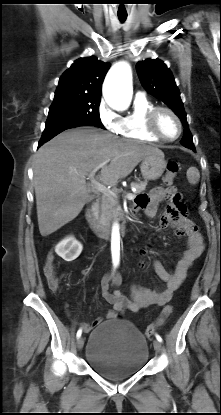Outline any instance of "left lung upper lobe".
Wrapping results in <instances>:
<instances>
[{"instance_id":"obj_1","label":"left lung upper lobe","mask_w":221,"mask_h":415,"mask_svg":"<svg viewBox=\"0 0 221 415\" xmlns=\"http://www.w3.org/2000/svg\"><path fill=\"white\" fill-rule=\"evenodd\" d=\"M136 69L142 86L154 97L162 100L180 118L185 128L181 144L194 149L180 92L171 71L159 59L137 62Z\"/></svg>"}]
</instances>
